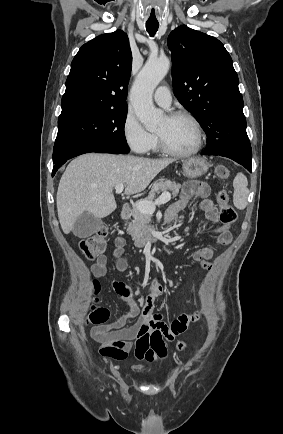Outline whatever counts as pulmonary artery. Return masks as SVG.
Masks as SVG:
<instances>
[{"mask_svg":"<svg viewBox=\"0 0 283 434\" xmlns=\"http://www.w3.org/2000/svg\"><path fill=\"white\" fill-rule=\"evenodd\" d=\"M155 102L165 108L171 105V94L169 88L165 85L159 86L154 93Z\"/></svg>","mask_w":283,"mask_h":434,"instance_id":"pulmonary-artery-1","label":"pulmonary artery"}]
</instances>
